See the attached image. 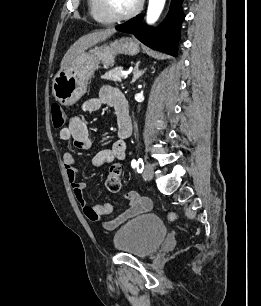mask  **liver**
Instances as JSON below:
<instances>
[{"instance_id": "obj_1", "label": "liver", "mask_w": 261, "mask_h": 306, "mask_svg": "<svg viewBox=\"0 0 261 306\" xmlns=\"http://www.w3.org/2000/svg\"><path fill=\"white\" fill-rule=\"evenodd\" d=\"M114 33H116V30L109 28L95 31L79 38L64 55L60 65V71L70 65L85 50L101 41L106 40Z\"/></svg>"}]
</instances>
